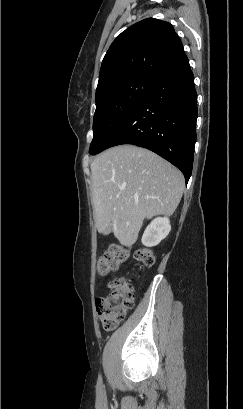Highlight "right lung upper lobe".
<instances>
[{
  "mask_svg": "<svg viewBox=\"0 0 243 409\" xmlns=\"http://www.w3.org/2000/svg\"><path fill=\"white\" fill-rule=\"evenodd\" d=\"M185 55L173 26L148 18L123 31L102 61L96 99L113 85L137 77L159 80Z\"/></svg>",
  "mask_w": 243,
  "mask_h": 409,
  "instance_id": "obj_1",
  "label": "right lung upper lobe"
}]
</instances>
